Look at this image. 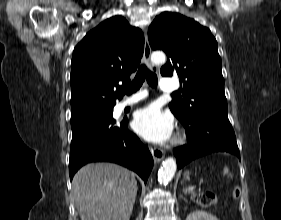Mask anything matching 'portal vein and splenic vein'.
Returning a JSON list of instances; mask_svg holds the SVG:
<instances>
[{"instance_id": "1", "label": "portal vein and splenic vein", "mask_w": 281, "mask_h": 220, "mask_svg": "<svg viewBox=\"0 0 281 220\" xmlns=\"http://www.w3.org/2000/svg\"><path fill=\"white\" fill-rule=\"evenodd\" d=\"M192 190H193V187H191V188L188 189V191H192ZM186 191H187V190H186Z\"/></svg>"}]
</instances>
